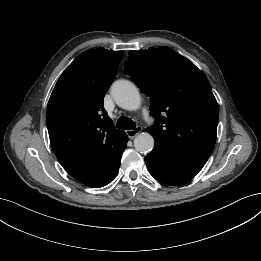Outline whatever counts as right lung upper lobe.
<instances>
[{
    "label": "right lung upper lobe",
    "instance_id": "1",
    "mask_svg": "<svg viewBox=\"0 0 261 261\" xmlns=\"http://www.w3.org/2000/svg\"><path fill=\"white\" fill-rule=\"evenodd\" d=\"M122 58L123 51H85L62 73L49 99L52 149L67 173L88 186L110 172L127 145V135L115 129L103 107Z\"/></svg>",
    "mask_w": 261,
    "mask_h": 261
}]
</instances>
